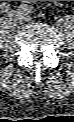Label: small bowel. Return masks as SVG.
Segmentation results:
<instances>
[{"label": "small bowel", "instance_id": "c3829d8e", "mask_svg": "<svg viewBox=\"0 0 74 122\" xmlns=\"http://www.w3.org/2000/svg\"><path fill=\"white\" fill-rule=\"evenodd\" d=\"M25 2H37V1H25Z\"/></svg>", "mask_w": 74, "mask_h": 122}]
</instances>
